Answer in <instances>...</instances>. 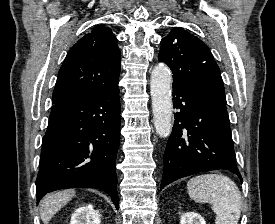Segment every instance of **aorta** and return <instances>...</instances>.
Masks as SVG:
<instances>
[{
	"mask_svg": "<svg viewBox=\"0 0 275 224\" xmlns=\"http://www.w3.org/2000/svg\"><path fill=\"white\" fill-rule=\"evenodd\" d=\"M171 83L170 69L164 64L156 65L151 74L150 93L154 127L160 137H167L172 131Z\"/></svg>",
	"mask_w": 275,
	"mask_h": 224,
	"instance_id": "1",
	"label": "aorta"
}]
</instances>
